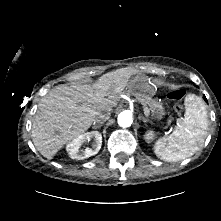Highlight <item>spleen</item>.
Here are the masks:
<instances>
[{
	"label": "spleen",
	"mask_w": 221,
	"mask_h": 221,
	"mask_svg": "<svg viewBox=\"0 0 221 221\" xmlns=\"http://www.w3.org/2000/svg\"><path fill=\"white\" fill-rule=\"evenodd\" d=\"M184 118L173 132L159 139L154 146L158 158L177 162L191 157L203 145L208 129V115L203 100L195 94L185 97Z\"/></svg>",
	"instance_id": "1"
}]
</instances>
